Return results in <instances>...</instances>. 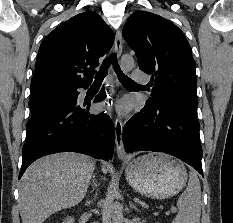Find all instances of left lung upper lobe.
<instances>
[{
  "mask_svg": "<svg viewBox=\"0 0 233 223\" xmlns=\"http://www.w3.org/2000/svg\"><path fill=\"white\" fill-rule=\"evenodd\" d=\"M123 36L138 58L139 69L152 74L147 107L197 109L196 65L183 32L165 18L146 11L130 15Z\"/></svg>",
  "mask_w": 233,
  "mask_h": 223,
  "instance_id": "1",
  "label": "left lung upper lobe"
}]
</instances>
